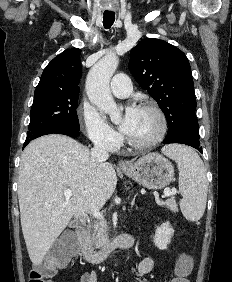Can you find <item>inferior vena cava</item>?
Wrapping results in <instances>:
<instances>
[{"instance_id": "obj_1", "label": "inferior vena cava", "mask_w": 232, "mask_h": 282, "mask_svg": "<svg viewBox=\"0 0 232 282\" xmlns=\"http://www.w3.org/2000/svg\"><path fill=\"white\" fill-rule=\"evenodd\" d=\"M109 157L107 144L104 141H96L91 150V158L94 166L106 161Z\"/></svg>"}]
</instances>
